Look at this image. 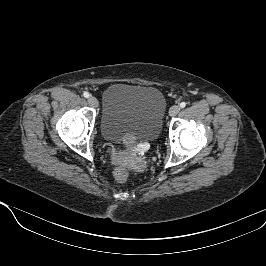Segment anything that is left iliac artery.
Returning <instances> with one entry per match:
<instances>
[{"label":"left iliac artery","instance_id":"obj_1","mask_svg":"<svg viewBox=\"0 0 266 266\" xmlns=\"http://www.w3.org/2000/svg\"><path fill=\"white\" fill-rule=\"evenodd\" d=\"M185 106H186V102H181V103H180V107H181V108H184Z\"/></svg>","mask_w":266,"mask_h":266}]
</instances>
